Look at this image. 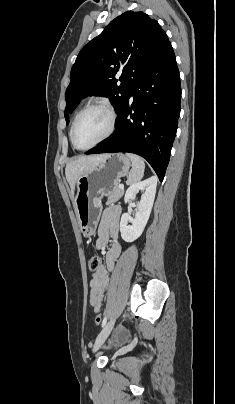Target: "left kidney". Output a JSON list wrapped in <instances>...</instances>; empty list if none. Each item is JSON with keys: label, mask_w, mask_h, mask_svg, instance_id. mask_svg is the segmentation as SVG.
<instances>
[{"label": "left kidney", "mask_w": 235, "mask_h": 404, "mask_svg": "<svg viewBox=\"0 0 235 404\" xmlns=\"http://www.w3.org/2000/svg\"><path fill=\"white\" fill-rule=\"evenodd\" d=\"M157 178L150 177L144 181L132 184L125 193V203L130 199H135L139 190H145L138 203L135 218L130 214L124 213L120 221L121 237L125 242H133L138 239L144 231L149 219L155 194H156ZM131 223V225H128Z\"/></svg>", "instance_id": "5707ae66"}]
</instances>
